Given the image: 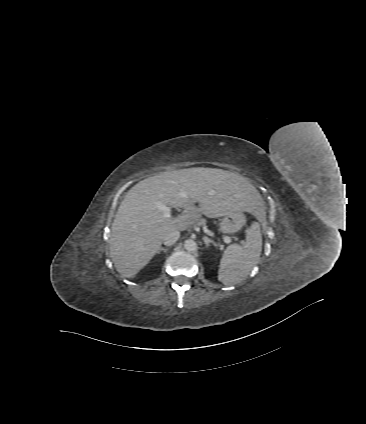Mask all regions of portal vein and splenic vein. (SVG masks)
Masks as SVG:
<instances>
[{"mask_svg": "<svg viewBox=\"0 0 366 424\" xmlns=\"http://www.w3.org/2000/svg\"><path fill=\"white\" fill-rule=\"evenodd\" d=\"M157 206L162 211V214L165 218H171L172 217V209L170 207H168V206H166L165 204H162V203H158ZM224 241L226 243H229L231 241V237L225 236ZM240 243H243V242L241 241Z\"/></svg>", "mask_w": 366, "mask_h": 424, "instance_id": "obj_1", "label": "portal vein and splenic vein"}]
</instances>
